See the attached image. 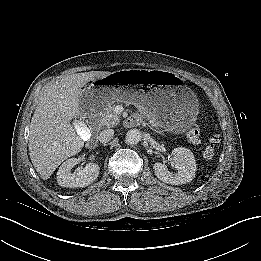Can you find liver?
I'll return each instance as SVG.
<instances>
[{
    "label": "liver",
    "mask_w": 261,
    "mask_h": 261,
    "mask_svg": "<svg viewBox=\"0 0 261 261\" xmlns=\"http://www.w3.org/2000/svg\"><path fill=\"white\" fill-rule=\"evenodd\" d=\"M109 71H90L66 76L44 90L31 119L29 155L43 180L67 158L78 154L83 137L70 121L81 115L82 88L90 81L105 78Z\"/></svg>",
    "instance_id": "6515ba94"
}]
</instances>
